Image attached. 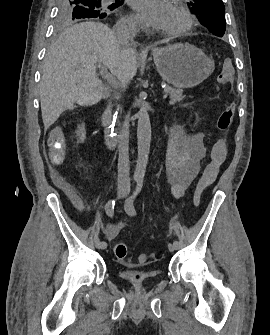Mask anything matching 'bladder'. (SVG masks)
I'll return each mask as SVG.
<instances>
[{
	"instance_id": "1",
	"label": "bladder",
	"mask_w": 270,
	"mask_h": 335,
	"mask_svg": "<svg viewBox=\"0 0 270 335\" xmlns=\"http://www.w3.org/2000/svg\"><path fill=\"white\" fill-rule=\"evenodd\" d=\"M156 275L157 273H151L146 270H129L120 273V276L124 282L133 284L134 286L147 285L156 278Z\"/></svg>"
}]
</instances>
